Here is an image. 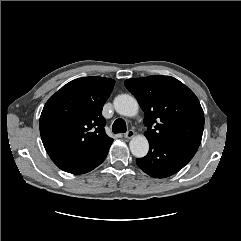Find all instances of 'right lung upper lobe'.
Here are the masks:
<instances>
[{"mask_svg": "<svg viewBox=\"0 0 241 241\" xmlns=\"http://www.w3.org/2000/svg\"><path fill=\"white\" fill-rule=\"evenodd\" d=\"M114 84L110 78H78L47 101L40 117V134L56 165L88 155L113 140L105 133L102 108Z\"/></svg>", "mask_w": 241, "mask_h": 241, "instance_id": "cb5924a9", "label": "right lung upper lobe"}]
</instances>
